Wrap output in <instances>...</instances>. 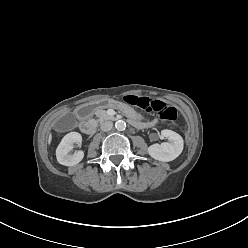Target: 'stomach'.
<instances>
[{
	"label": "stomach",
	"mask_w": 248,
	"mask_h": 248,
	"mask_svg": "<svg viewBox=\"0 0 248 248\" xmlns=\"http://www.w3.org/2000/svg\"><path fill=\"white\" fill-rule=\"evenodd\" d=\"M101 107H115L120 113L124 114L129 120L135 119V113L128 105H124L120 100H99L89 105L90 111H95Z\"/></svg>",
	"instance_id": "stomach-1"
}]
</instances>
